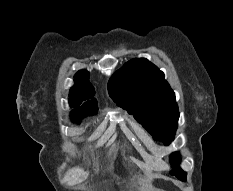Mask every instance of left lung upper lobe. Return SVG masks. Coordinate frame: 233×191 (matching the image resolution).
<instances>
[{
  "instance_id": "5c2ea615",
  "label": "left lung upper lobe",
  "mask_w": 233,
  "mask_h": 191,
  "mask_svg": "<svg viewBox=\"0 0 233 191\" xmlns=\"http://www.w3.org/2000/svg\"><path fill=\"white\" fill-rule=\"evenodd\" d=\"M108 91L114 102L153 136L168 145L175 135L179 112L175 94L164 79V74L145 58L132 59L117 70L109 80ZM177 178L186 173L177 166L179 153L170 155Z\"/></svg>"
}]
</instances>
